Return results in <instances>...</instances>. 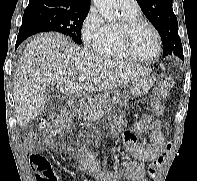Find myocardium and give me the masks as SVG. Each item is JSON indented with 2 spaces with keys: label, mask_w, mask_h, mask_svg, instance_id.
I'll list each match as a JSON object with an SVG mask.
<instances>
[{
  "label": "myocardium",
  "mask_w": 197,
  "mask_h": 181,
  "mask_svg": "<svg viewBox=\"0 0 197 181\" xmlns=\"http://www.w3.org/2000/svg\"><path fill=\"white\" fill-rule=\"evenodd\" d=\"M141 26L149 27L157 40V50L152 57L144 58L137 55L132 48V38L134 32ZM118 39L120 46L124 50V52L129 56V58L143 62V63H151L156 61L162 52V40L159 31L157 28L149 21L142 18H135L131 20L124 21L118 28Z\"/></svg>",
  "instance_id": "obj_1"
}]
</instances>
